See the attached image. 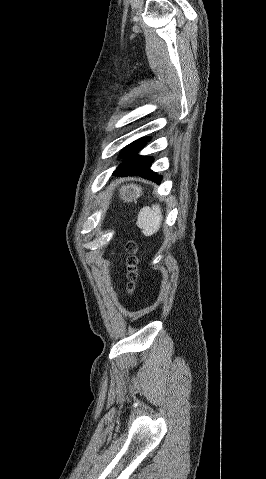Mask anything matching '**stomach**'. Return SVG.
Segmentation results:
<instances>
[{
	"label": "stomach",
	"mask_w": 266,
	"mask_h": 479,
	"mask_svg": "<svg viewBox=\"0 0 266 479\" xmlns=\"http://www.w3.org/2000/svg\"><path fill=\"white\" fill-rule=\"evenodd\" d=\"M120 192L122 199L125 201H135L141 195L142 189L132 184L130 186H123Z\"/></svg>",
	"instance_id": "obj_1"
}]
</instances>
